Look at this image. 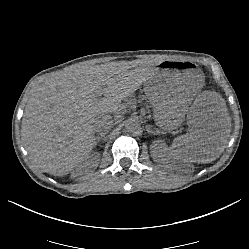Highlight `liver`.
Instances as JSON below:
<instances>
[{
    "label": "liver",
    "instance_id": "1",
    "mask_svg": "<svg viewBox=\"0 0 249 249\" xmlns=\"http://www.w3.org/2000/svg\"><path fill=\"white\" fill-rule=\"evenodd\" d=\"M151 74L148 67L108 64L68 67L44 80L32 93L22 118L21 138L32 164L54 176L79 168L95 146L96 121L115 113L122 100ZM150 103L155 124L165 131L178 128L187 119L189 133L173 140V159L210 163L222 154L231 118L218 93L204 92L192 104L174 106L156 94L151 95Z\"/></svg>",
    "mask_w": 249,
    "mask_h": 249
}]
</instances>
